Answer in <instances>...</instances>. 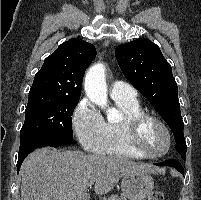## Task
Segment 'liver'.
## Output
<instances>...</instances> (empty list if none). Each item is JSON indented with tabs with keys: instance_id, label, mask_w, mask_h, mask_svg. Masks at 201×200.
<instances>
[{
	"instance_id": "obj_1",
	"label": "liver",
	"mask_w": 201,
	"mask_h": 200,
	"mask_svg": "<svg viewBox=\"0 0 201 200\" xmlns=\"http://www.w3.org/2000/svg\"><path fill=\"white\" fill-rule=\"evenodd\" d=\"M152 172L126 158L60 151L45 147L31 153L21 168V200H90L87 187L107 194L126 174Z\"/></svg>"
}]
</instances>
